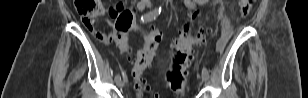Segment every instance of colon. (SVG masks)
I'll return each instance as SVG.
<instances>
[{"label": "colon", "instance_id": "obj_1", "mask_svg": "<svg viewBox=\"0 0 308 98\" xmlns=\"http://www.w3.org/2000/svg\"><path fill=\"white\" fill-rule=\"evenodd\" d=\"M256 0H241L239 3V15L245 17L249 14L253 3ZM74 6L80 15L83 24L88 30H93L92 20L103 13V6L100 0H74ZM110 15L116 19L113 34L95 32V36L103 42L113 41L116 46L122 50L128 49V32L129 31H149L146 32V40L134 68V75L139 76L151 62L160 36L155 24H131L137 20L133 13L129 1H121L110 9ZM200 15L199 10H195L189 21L184 25L183 35L180 43L184 45L182 50H174L171 54V72L168 75L171 87L177 93H181L184 84L187 69L193 59L192 48L198 46L205 37L207 29L195 25ZM137 87L140 90H147L143 80H138Z\"/></svg>", "mask_w": 308, "mask_h": 98}]
</instances>
